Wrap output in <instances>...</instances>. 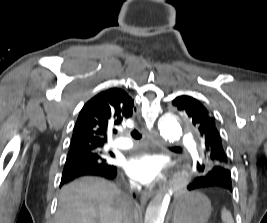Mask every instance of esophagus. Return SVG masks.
I'll use <instances>...</instances> for the list:
<instances>
[{"label":"esophagus","instance_id":"1","mask_svg":"<svg viewBox=\"0 0 267 223\" xmlns=\"http://www.w3.org/2000/svg\"><path fill=\"white\" fill-rule=\"evenodd\" d=\"M147 138L152 146L163 147L165 145L164 140L155 131L148 132ZM153 193V191L144 192L140 197L141 203L145 204L148 199L153 195Z\"/></svg>","mask_w":267,"mask_h":223}]
</instances>
